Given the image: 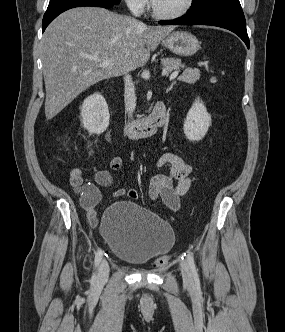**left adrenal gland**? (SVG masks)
<instances>
[{
  "mask_svg": "<svg viewBox=\"0 0 285 332\" xmlns=\"http://www.w3.org/2000/svg\"><path fill=\"white\" fill-rule=\"evenodd\" d=\"M176 81H173L170 86L167 88V91L172 90L173 86L175 85Z\"/></svg>",
  "mask_w": 285,
  "mask_h": 332,
  "instance_id": "obj_1",
  "label": "left adrenal gland"
}]
</instances>
